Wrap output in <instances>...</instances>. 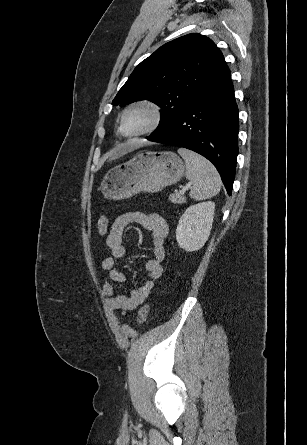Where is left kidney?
<instances>
[{"instance_id":"left-kidney-1","label":"left kidney","mask_w":307,"mask_h":445,"mask_svg":"<svg viewBox=\"0 0 307 445\" xmlns=\"http://www.w3.org/2000/svg\"><path fill=\"white\" fill-rule=\"evenodd\" d=\"M215 204L212 200L198 202L186 208L176 229V239L184 251H199L204 247L211 231Z\"/></svg>"}]
</instances>
